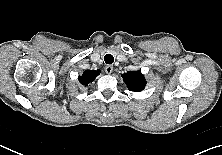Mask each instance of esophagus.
Segmentation results:
<instances>
[{
  "instance_id": "34e87169",
  "label": "esophagus",
  "mask_w": 222,
  "mask_h": 155,
  "mask_svg": "<svg viewBox=\"0 0 222 155\" xmlns=\"http://www.w3.org/2000/svg\"><path fill=\"white\" fill-rule=\"evenodd\" d=\"M112 71H113V66H112V65H106V66H105V72H106L107 74H111Z\"/></svg>"
}]
</instances>
